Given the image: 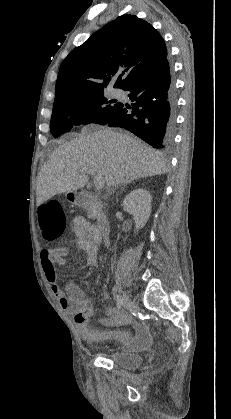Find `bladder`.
<instances>
[{
	"mask_svg": "<svg viewBox=\"0 0 231 419\" xmlns=\"http://www.w3.org/2000/svg\"><path fill=\"white\" fill-rule=\"evenodd\" d=\"M106 359L123 369H135L141 366L143 356L136 353H128L120 349H109L105 354Z\"/></svg>",
	"mask_w": 231,
	"mask_h": 419,
	"instance_id": "obj_1",
	"label": "bladder"
}]
</instances>
